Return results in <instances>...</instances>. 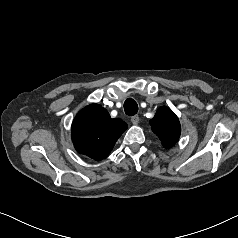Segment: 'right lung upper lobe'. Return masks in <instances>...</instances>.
<instances>
[{"label": "right lung upper lobe", "mask_w": 238, "mask_h": 238, "mask_svg": "<svg viewBox=\"0 0 238 238\" xmlns=\"http://www.w3.org/2000/svg\"><path fill=\"white\" fill-rule=\"evenodd\" d=\"M127 127L121 119H112L101 105L91 104L76 115L71 127L72 141L77 152L102 160Z\"/></svg>", "instance_id": "obj_1"}]
</instances>
